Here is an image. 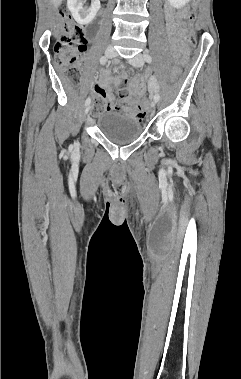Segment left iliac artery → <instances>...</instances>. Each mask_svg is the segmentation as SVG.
I'll use <instances>...</instances> for the list:
<instances>
[{
  "label": "left iliac artery",
  "instance_id": "1",
  "mask_svg": "<svg viewBox=\"0 0 241 379\" xmlns=\"http://www.w3.org/2000/svg\"><path fill=\"white\" fill-rule=\"evenodd\" d=\"M144 60L147 62V63H151L152 62V57L148 54V53H144ZM154 99L156 101H159L160 99V95L158 93L155 94L154 96Z\"/></svg>",
  "mask_w": 241,
  "mask_h": 379
}]
</instances>
